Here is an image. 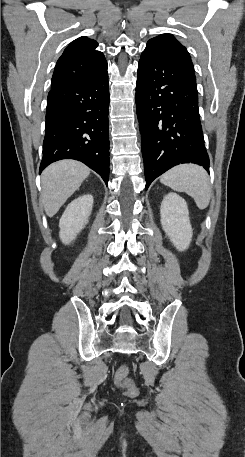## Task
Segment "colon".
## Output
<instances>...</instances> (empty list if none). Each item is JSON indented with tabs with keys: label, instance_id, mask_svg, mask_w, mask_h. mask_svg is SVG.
I'll use <instances>...</instances> for the list:
<instances>
[{
	"label": "colon",
	"instance_id": "obj_1",
	"mask_svg": "<svg viewBox=\"0 0 245 457\" xmlns=\"http://www.w3.org/2000/svg\"><path fill=\"white\" fill-rule=\"evenodd\" d=\"M128 367L126 365H121L115 373V383L120 388L126 390L127 394L134 395L137 392L136 386L132 380L128 378Z\"/></svg>",
	"mask_w": 245,
	"mask_h": 457
}]
</instances>
